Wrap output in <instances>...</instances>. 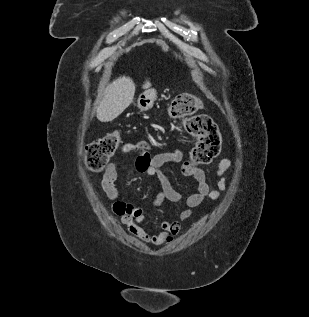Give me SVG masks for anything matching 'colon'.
<instances>
[{"mask_svg":"<svg viewBox=\"0 0 309 317\" xmlns=\"http://www.w3.org/2000/svg\"><path fill=\"white\" fill-rule=\"evenodd\" d=\"M201 107V100L190 93L177 95L169 106L170 115L184 120L186 130L196 138L187 160L194 166L209 164L221 148V134L216 123L207 115L196 114ZM119 142V132L113 131L89 143L85 150L87 168L93 172L102 171L116 152Z\"/></svg>","mask_w":309,"mask_h":317,"instance_id":"5ec220e1","label":"colon"}]
</instances>
